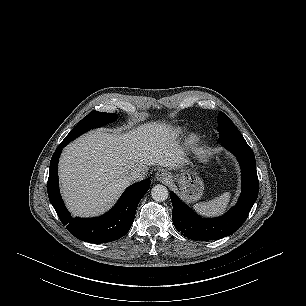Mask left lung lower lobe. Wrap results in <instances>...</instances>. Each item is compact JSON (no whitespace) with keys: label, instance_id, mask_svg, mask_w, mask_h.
Wrapping results in <instances>:
<instances>
[{"label":"left lung lower lobe","instance_id":"1","mask_svg":"<svg viewBox=\"0 0 306 306\" xmlns=\"http://www.w3.org/2000/svg\"><path fill=\"white\" fill-rule=\"evenodd\" d=\"M223 145L238 159L242 175V191L235 207L218 218H202L170 192L172 219L183 236L193 240H217L233 234L245 222L258 197L259 181L255 156L246 141H226Z\"/></svg>","mask_w":306,"mask_h":306}]
</instances>
